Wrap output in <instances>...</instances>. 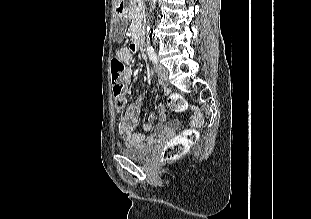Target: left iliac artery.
Instances as JSON below:
<instances>
[{
  "label": "left iliac artery",
  "mask_w": 311,
  "mask_h": 219,
  "mask_svg": "<svg viewBox=\"0 0 311 219\" xmlns=\"http://www.w3.org/2000/svg\"><path fill=\"white\" fill-rule=\"evenodd\" d=\"M147 52H148L150 60L154 63H157V56H156L154 49L150 47L147 49Z\"/></svg>",
  "instance_id": "44dca946"
}]
</instances>
